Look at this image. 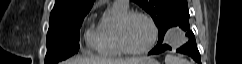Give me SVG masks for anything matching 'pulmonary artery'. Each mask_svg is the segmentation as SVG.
<instances>
[{"instance_id":"e3ab8cb5","label":"pulmonary artery","mask_w":242,"mask_h":64,"mask_svg":"<svg viewBox=\"0 0 242 64\" xmlns=\"http://www.w3.org/2000/svg\"><path fill=\"white\" fill-rule=\"evenodd\" d=\"M114 4H117L122 7H128V1L127 0H116L114 1Z\"/></svg>"}]
</instances>
